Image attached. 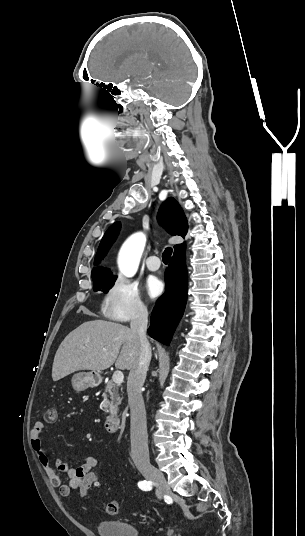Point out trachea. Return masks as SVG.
Segmentation results:
<instances>
[{
    "label": "trachea",
    "instance_id": "3493384b",
    "mask_svg": "<svg viewBox=\"0 0 305 536\" xmlns=\"http://www.w3.org/2000/svg\"><path fill=\"white\" fill-rule=\"evenodd\" d=\"M172 248H166L164 250V252L162 253V261L164 263H168L170 258H171V255H172Z\"/></svg>",
    "mask_w": 305,
    "mask_h": 536
}]
</instances>
